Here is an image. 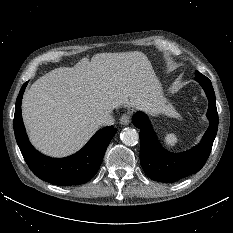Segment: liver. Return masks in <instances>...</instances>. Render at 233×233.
Segmentation results:
<instances>
[{
    "mask_svg": "<svg viewBox=\"0 0 233 233\" xmlns=\"http://www.w3.org/2000/svg\"><path fill=\"white\" fill-rule=\"evenodd\" d=\"M121 106L171 109L142 52L95 54L50 71L24 94L22 115L31 143L46 155L64 157L87 143L101 115Z\"/></svg>",
    "mask_w": 233,
    "mask_h": 233,
    "instance_id": "1",
    "label": "liver"
}]
</instances>
